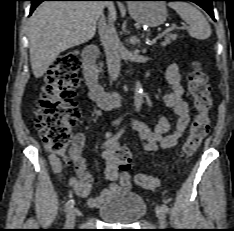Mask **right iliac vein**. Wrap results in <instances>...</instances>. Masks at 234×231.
Returning a JSON list of instances; mask_svg holds the SVG:
<instances>
[{"mask_svg": "<svg viewBox=\"0 0 234 231\" xmlns=\"http://www.w3.org/2000/svg\"><path fill=\"white\" fill-rule=\"evenodd\" d=\"M77 212H78V210L76 207H72L69 210L67 217H66V224H65L66 228H73L74 227Z\"/></svg>", "mask_w": 234, "mask_h": 231, "instance_id": "1", "label": "right iliac vein"}]
</instances>
